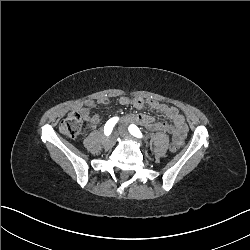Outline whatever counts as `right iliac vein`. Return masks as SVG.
Returning a JSON list of instances; mask_svg holds the SVG:
<instances>
[{
  "label": "right iliac vein",
  "instance_id": "1",
  "mask_svg": "<svg viewBox=\"0 0 250 250\" xmlns=\"http://www.w3.org/2000/svg\"><path fill=\"white\" fill-rule=\"evenodd\" d=\"M117 133H114L109 138L103 140V146L106 148H112L116 143Z\"/></svg>",
  "mask_w": 250,
  "mask_h": 250
}]
</instances>
